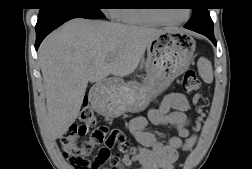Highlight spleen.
<instances>
[{"mask_svg":"<svg viewBox=\"0 0 252 169\" xmlns=\"http://www.w3.org/2000/svg\"><path fill=\"white\" fill-rule=\"evenodd\" d=\"M199 75L206 83H212L213 81V69L211 63L205 59L200 58L197 63Z\"/></svg>","mask_w":252,"mask_h":169,"instance_id":"1","label":"spleen"}]
</instances>
